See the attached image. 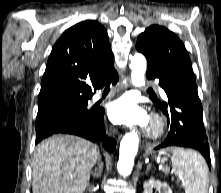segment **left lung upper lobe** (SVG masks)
Masks as SVG:
<instances>
[{
	"label": "left lung upper lobe",
	"instance_id": "obj_1",
	"mask_svg": "<svg viewBox=\"0 0 221 193\" xmlns=\"http://www.w3.org/2000/svg\"><path fill=\"white\" fill-rule=\"evenodd\" d=\"M136 48L144 54L148 63L170 71L193 74L184 44L165 27L152 25L147 28L139 35Z\"/></svg>",
	"mask_w": 221,
	"mask_h": 193
}]
</instances>
